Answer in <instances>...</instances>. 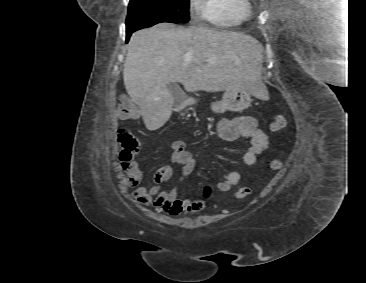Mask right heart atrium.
<instances>
[{
	"label": "right heart atrium",
	"instance_id": "d8ad5b80",
	"mask_svg": "<svg viewBox=\"0 0 366 283\" xmlns=\"http://www.w3.org/2000/svg\"><path fill=\"white\" fill-rule=\"evenodd\" d=\"M189 5L195 13L202 10V0H189Z\"/></svg>",
	"mask_w": 366,
	"mask_h": 283
}]
</instances>
